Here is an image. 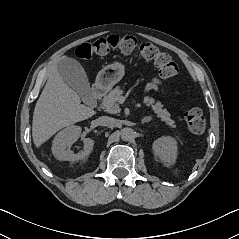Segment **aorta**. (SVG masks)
Segmentation results:
<instances>
[{
    "mask_svg": "<svg viewBox=\"0 0 239 239\" xmlns=\"http://www.w3.org/2000/svg\"><path fill=\"white\" fill-rule=\"evenodd\" d=\"M134 136H135V132L132 128L126 127L121 130V138L125 141H129L133 139Z\"/></svg>",
    "mask_w": 239,
    "mask_h": 239,
    "instance_id": "762f6f07",
    "label": "aorta"
}]
</instances>
